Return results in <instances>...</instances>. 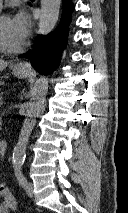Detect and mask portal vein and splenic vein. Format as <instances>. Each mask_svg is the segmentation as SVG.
I'll return each mask as SVG.
<instances>
[{"instance_id": "18ae733b", "label": "portal vein and splenic vein", "mask_w": 128, "mask_h": 213, "mask_svg": "<svg viewBox=\"0 0 128 213\" xmlns=\"http://www.w3.org/2000/svg\"><path fill=\"white\" fill-rule=\"evenodd\" d=\"M3 105V101L0 99V106H2Z\"/></svg>"}]
</instances>
